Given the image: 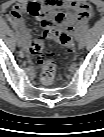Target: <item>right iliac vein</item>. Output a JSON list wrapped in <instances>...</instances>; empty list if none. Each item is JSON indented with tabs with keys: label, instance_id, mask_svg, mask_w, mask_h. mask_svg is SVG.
Segmentation results:
<instances>
[{
	"label": "right iliac vein",
	"instance_id": "obj_1",
	"mask_svg": "<svg viewBox=\"0 0 104 137\" xmlns=\"http://www.w3.org/2000/svg\"><path fill=\"white\" fill-rule=\"evenodd\" d=\"M16 43L19 48L23 47L22 37L19 33H16Z\"/></svg>",
	"mask_w": 104,
	"mask_h": 137
}]
</instances>
